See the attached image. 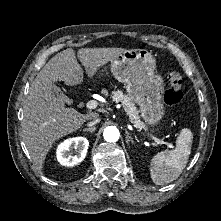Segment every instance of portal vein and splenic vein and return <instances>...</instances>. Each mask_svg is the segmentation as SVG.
<instances>
[{"label":"portal vein and splenic vein","instance_id":"obj_1","mask_svg":"<svg viewBox=\"0 0 221 221\" xmlns=\"http://www.w3.org/2000/svg\"><path fill=\"white\" fill-rule=\"evenodd\" d=\"M98 106V102L96 100H90L86 103L87 109H95ZM131 121V120H130ZM132 122V121H131ZM154 140V143L160 146H166L167 148H173V144L160 140L156 137L151 136Z\"/></svg>","mask_w":221,"mask_h":221}]
</instances>
